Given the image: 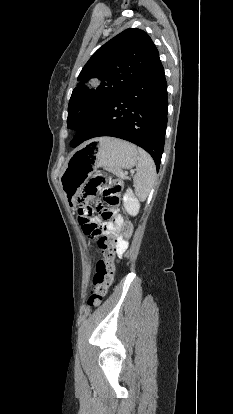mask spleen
I'll return each instance as SVG.
<instances>
[{"label": "spleen", "instance_id": "3e777b00", "mask_svg": "<svg viewBox=\"0 0 233 414\" xmlns=\"http://www.w3.org/2000/svg\"><path fill=\"white\" fill-rule=\"evenodd\" d=\"M138 152L139 159L133 182L136 195L141 200H145L154 185L156 179V167L152 157L146 151L138 148Z\"/></svg>", "mask_w": 233, "mask_h": 414}]
</instances>
